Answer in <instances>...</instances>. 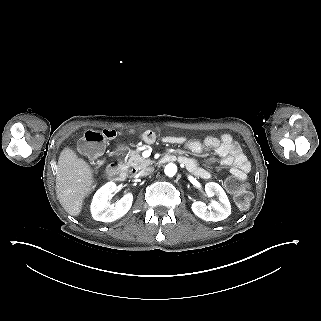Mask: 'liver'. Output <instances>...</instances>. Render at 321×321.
Returning <instances> with one entry per match:
<instances>
[{"label": "liver", "instance_id": "1", "mask_svg": "<svg viewBox=\"0 0 321 321\" xmlns=\"http://www.w3.org/2000/svg\"><path fill=\"white\" fill-rule=\"evenodd\" d=\"M92 184L93 174L89 165L73 150L64 148L58 160L56 188L59 202L68 214H80Z\"/></svg>", "mask_w": 321, "mask_h": 321}]
</instances>
